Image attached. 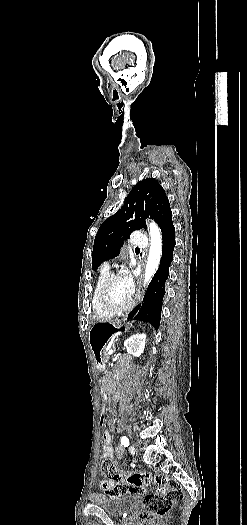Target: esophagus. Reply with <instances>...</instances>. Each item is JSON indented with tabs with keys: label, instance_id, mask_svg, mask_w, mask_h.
<instances>
[{
	"label": "esophagus",
	"instance_id": "esophagus-1",
	"mask_svg": "<svg viewBox=\"0 0 247 525\" xmlns=\"http://www.w3.org/2000/svg\"><path fill=\"white\" fill-rule=\"evenodd\" d=\"M145 273H146V270L144 268H141L139 270V273H138V276H137L138 285H142L141 279H143V277L145 276ZM142 300H143V293L138 288L137 289V293H136V304H135L134 308L131 310V312L129 314V318H132L133 316H136L138 314V312H139V310L141 308V305H142Z\"/></svg>",
	"mask_w": 247,
	"mask_h": 525
}]
</instances>
